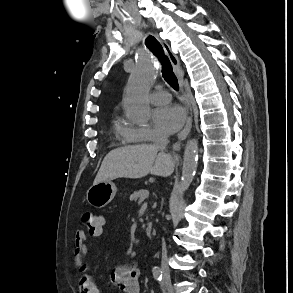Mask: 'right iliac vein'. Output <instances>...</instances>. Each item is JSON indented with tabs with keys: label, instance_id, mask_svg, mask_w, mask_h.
Returning a JSON list of instances; mask_svg holds the SVG:
<instances>
[{
	"label": "right iliac vein",
	"instance_id": "obj_1",
	"mask_svg": "<svg viewBox=\"0 0 293 293\" xmlns=\"http://www.w3.org/2000/svg\"><path fill=\"white\" fill-rule=\"evenodd\" d=\"M164 284L166 285V288L168 290V293H174V289L171 283V279L169 275L164 276Z\"/></svg>",
	"mask_w": 293,
	"mask_h": 293
}]
</instances>
